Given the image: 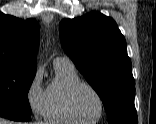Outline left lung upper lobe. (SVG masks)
Listing matches in <instances>:
<instances>
[{"label": "left lung upper lobe", "mask_w": 156, "mask_h": 124, "mask_svg": "<svg viewBox=\"0 0 156 124\" xmlns=\"http://www.w3.org/2000/svg\"><path fill=\"white\" fill-rule=\"evenodd\" d=\"M66 54L102 99L109 124H138L135 81L124 36L99 12L60 22Z\"/></svg>", "instance_id": "1"}]
</instances>
